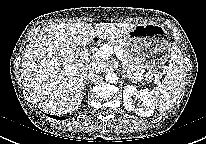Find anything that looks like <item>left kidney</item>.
I'll return each mask as SVG.
<instances>
[{
  "instance_id": "5707ae66",
  "label": "left kidney",
  "mask_w": 206,
  "mask_h": 144,
  "mask_svg": "<svg viewBox=\"0 0 206 144\" xmlns=\"http://www.w3.org/2000/svg\"><path fill=\"white\" fill-rule=\"evenodd\" d=\"M138 100L141 105L135 108L133 100ZM123 105L127 111H134L138 116L149 117L154 113L155 105L151 93L147 89L138 91L136 87L127 85L123 90Z\"/></svg>"
}]
</instances>
